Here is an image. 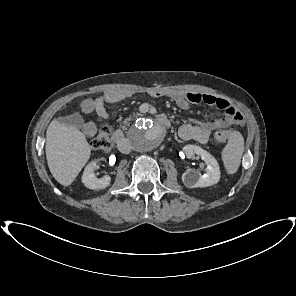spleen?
Returning <instances> with one entry per match:
<instances>
[{"label":"spleen","instance_id":"obj_1","mask_svg":"<svg viewBox=\"0 0 296 296\" xmlns=\"http://www.w3.org/2000/svg\"><path fill=\"white\" fill-rule=\"evenodd\" d=\"M243 152L244 138L240 132L233 131L230 134L228 143L222 150V160L229 174H234L238 170Z\"/></svg>","mask_w":296,"mask_h":296}]
</instances>
